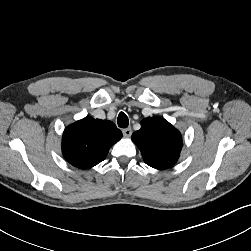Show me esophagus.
I'll use <instances>...</instances> for the list:
<instances>
[{
    "instance_id": "esophagus-1",
    "label": "esophagus",
    "mask_w": 251,
    "mask_h": 251,
    "mask_svg": "<svg viewBox=\"0 0 251 251\" xmlns=\"http://www.w3.org/2000/svg\"><path fill=\"white\" fill-rule=\"evenodd\" d=\"M122 132H123V135H124L125 137H130L131 134H132V129L129 127V128L123 129Z\"/></svg>"
}]
</instances>
